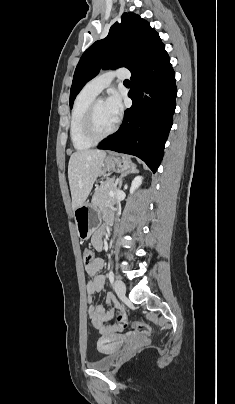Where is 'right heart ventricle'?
Masks as SVG:
<instances>
[{"instance_id":"1","label":"right heart ventricle","mask_w":235,"mask_h":404,"mask_svg":"<svg viewBox=\"0 0 235 404\" xmlns=\"http://www.w3.org/2000/svg\"><path fill=\"white\" fill-rule=\"evenodd\" d=\"M95 96L96 95L83 89L78 94L73 104L70 116L69 133L74 148L79 151L89 149L94 145V143L85 137L83 126L88 107L94 101Z\"/></svg>"}]
</instances>
